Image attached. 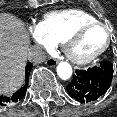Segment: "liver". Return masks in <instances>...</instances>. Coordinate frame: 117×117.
Wrapping results in <instances>:
<instances>
[{"instance_id": "obj_1", "label": "liver", "mask_w": 117, "mask_h": 117, "mask_svg": "<svg viewBox=\"0 0 117 117\" xmlns=\"http://www.w3.org/2000/svg\"><path fill=\"white\" fill-rule=\"evenodd\" d=\"M29 34L17 17L0 14V95L16 91L24 80Z\"/></svg>"}]
</instances>
